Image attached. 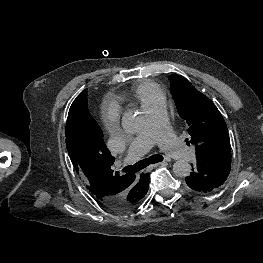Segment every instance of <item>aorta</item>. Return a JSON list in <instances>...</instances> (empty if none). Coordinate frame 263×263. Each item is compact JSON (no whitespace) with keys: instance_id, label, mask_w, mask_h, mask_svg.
<instances>
[{"instance_id":"762f6f07","label":"aorta","mask_w":263,"mask_h":263,"mask_svg":"<svg viewBox=\"0 0 263 263\" xmlns=\"http://www.w3.org/2000/svg\"><path fill=\"white\" fill-rule=\"evenodd\" d=\"M122 126L126 133L136 134L144 126V118L138 111L127 110L122 117ZM173 172L178 177H187L191 172V165L185 160H178L173 164Z\"/></svg>"}]
</instances>
